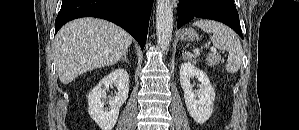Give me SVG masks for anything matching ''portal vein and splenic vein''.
Returning <instances> with one entry per match:
<instances>
[{
  "label": "portal vein and splenic vein",
  "instance_id": "portal-vein-and-splenic-vein-1",
  "mask_svg": "<svg viewBox=\"0 0 299 130\" xmlns=\"http://www.w3.org/2000/svg\"><path fill=\"white\" fill-rule=\"evenodd\" d=\"M211 52L216 53V48L211 47Z\"/></svg>",
  "mask_w": 299,
  "mask_h": 130
}]
</instances>
